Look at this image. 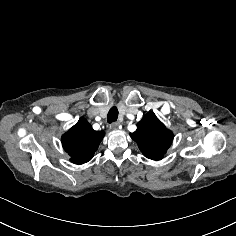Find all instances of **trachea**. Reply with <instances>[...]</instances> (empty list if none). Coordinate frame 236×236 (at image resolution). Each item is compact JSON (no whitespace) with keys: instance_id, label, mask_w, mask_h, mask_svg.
<instances>
[{"instance_id":"trachea-1","label":"trachea","mask_w":236,"mask_h":236,"mask_svg":"<svg viewBox=\"0 0 236 236\" xmlns=\"http://www.w3.org/2000/svg\"><path fill=\"white\" fill-rule=\"evenodd\" d=\"M118 118V108L116 106H113L107 115V121L111 124L115 122Z\"/></svg>"}]
</instances>
